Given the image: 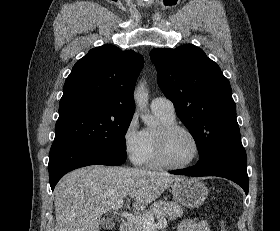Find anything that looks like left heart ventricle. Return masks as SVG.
<instances>
[{
	"mask_svg": "<svg viewBox=\"0 0 280 231\" xmlns=\"http://www.w3.org/2000/svg\"><path fill=\"white\" fill-rule=\"evenodd\" d=\"M165 146L169 159L176 164L190 162L196 154V144L193 138L183 131H177L169 135L165 141Z\"/></svg>",
	"mask_w": 280,
	"mask_h": 231,
	"instance_id": "b2bd125f",
	"label": "left heart ventricle"
}]
</instances>
